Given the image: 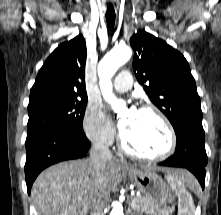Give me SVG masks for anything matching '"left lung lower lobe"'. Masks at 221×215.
<instances>
[{"mask_svg":"<svg viewBox=\"0 0 221 215\" xmlns=\"http://www.w3.org/2000/svg\"><path fill=\"white\" fill-rule=\"evenodd\" d=\"M175 133L177 137L175 153L159 165L188 169L196 176L202 189H204L207 154L202 123H184Z\"/></svg>","mask_w":221,"mask_h":215,"instance_id":"left-lung-lower-lobe-1","label":"left lung lower lobe"}]
</instances>
